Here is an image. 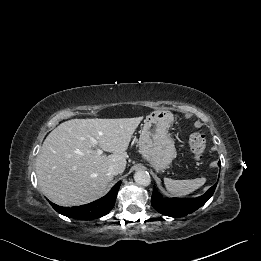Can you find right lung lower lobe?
Masks as SVG:
<instances>
[{
	"label": "right lung lower lobe",
	"instance_id": "1",
	"mask_svg": "<svg viewBox=\"0 0 261 261\" xmlns=\"http://www.w3.org/2000/svg\"><path fill=\"white\" fill-rule=\"evenodd\" d=\"M121 182H118L110 192L99 200L77 207H62L50 202L60 214L80 220H92L102 217L113 208Z\"/></svg>",
	"mask_w": 261,
	"mask_h": 261
}]
</instances>
